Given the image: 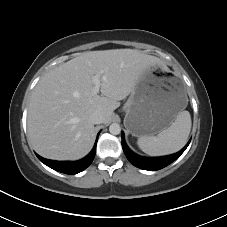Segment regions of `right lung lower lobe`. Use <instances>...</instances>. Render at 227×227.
Segmentation results:
<instances>
[{
  "label": "right lung lower lobe",
  "instance_id": "right-lung-lower-lobe-1",
  "mask_svg": "<svg viewBox=\"0 0 227 227\" xmlns=\"http://www.w3.org/2000/svg\"><path fill=\"white\" fill-rule=\"evenodd\" d=\"M96 144H97V140L92 151L86 157L78 161H73V162L54 161V160L44 159L38 154H36V156L39 158L41 162H43L45 165H47L48 167L56 171H59L65 174H77L83 171L84 169H86L92 163L96 154Z\"/></svg>",
  "mask_w": 227,
  "mask_h": 227
}]
</instances>
